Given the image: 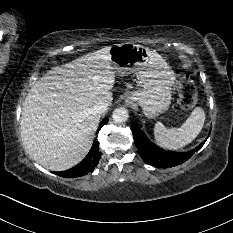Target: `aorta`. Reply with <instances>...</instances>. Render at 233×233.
<instances>
[{"mask_svg":"<svg viewBox=\"0 0 233 233\" xmlns=\"http://www.w3.org/2000/svg\"><path fill=\"white\" fill-rule=\"evenodd\" d=\"M129 117L128 111L125 108L115 109L112 115L113 121L115 123H124Z\"/></svg>","mask_w":233,"mask_h":233,"instance_id":"aorta-1","label":"aorta"}]
</instances>
